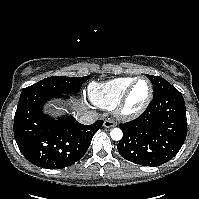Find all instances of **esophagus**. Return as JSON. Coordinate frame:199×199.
Returning <instances> with one entry per match:
<instances>
[{
	"label": "esophagus",
	"instance_id": "34e87169",
	"mask_svg": "<svg viewBox=\"0 0 199 199\" xmlns=\"http://www.w3.org/2000/svg\"><path fill=\"white\" fill-rule=\"evenodd\" d=\"M104 127H106V128H111V127H114V126H116V122L115 121H113V120H110V119H106L105 121H104Z\"/></svg>",
	"mask_w": 199,
	"mask_h": 199
}]
</instances>
